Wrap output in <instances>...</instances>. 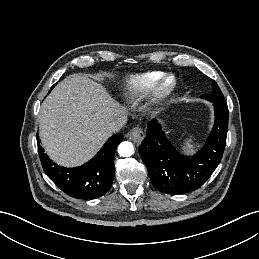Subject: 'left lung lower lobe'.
Wrapping results in <instances>:
<instances>
[{
    "label": "left lung lower lobe",
    "mask_w": 259,
    "mask_h": 259,
    "mask_svg": "<svg viewBox=\"0 0 259 259\" xmlns=\"http://www.w3.org/2000/svg\"><path fill=\"white\" fill-rule=\"evenodd\" d=\"M212 103L213 130L207 144L191 158L175 150L155 119L148 123L147 135L138 150L151 182L161 192L181 194L197 190L219 165L226 145L229 111L225 101Z\"/></svg>",
    "instance_id": "obj_1"
}]
</instances>
